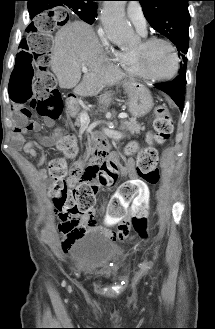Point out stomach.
Returning a JSON list of instances; mask_svg holds the SVG:
<instances>
[{
	"label": "stomach",
	"instance_id": "stomach-1",
	"mask_svg": "<svg viewBox=\"0 0 215 329\" xmlns=\"http://www.w3.org/2000/svg\"><path fill=\"white\" fill-rule=\"evenodd\" d=\"M124 88L128 96V110L133 117H143L151 111L154 103L149 89L133 82L125 83ZM67 110L69 113L77 110L74 100L68 101Z\"/></svg>",
	"mask_w": 215,
	"mask_h": 329
}]
</instances>
